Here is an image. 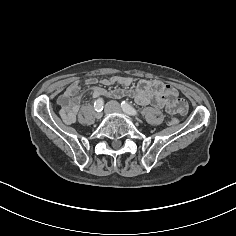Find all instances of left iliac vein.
Returning a JSON list of instances; mask_svg holds the SVG:
<instances>
[{
    "label": "left iliac vein",
    "mask_w": 236,
    "mask_h": 236,
    "mask_svg": "<svg viewBox=\"0 0 236 236\" xmlns=\"http://www.w3.org/2000/svg\"><path fill=\"white\" fill-rule=\"evenodd\" d=\"M111 104L113 105L114 112H122L121 106L117 102L112 101Z\"/></svg>",
    "instance_id": "obj_1"
}]
</instances>
